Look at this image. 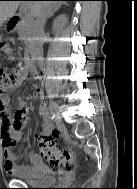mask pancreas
<instances>
[{
	"label": "pancreas",
	"instance_id": "pancreas-1",
	"mask_svg": "<svg viewBox=\"0 0 137 189\" xmlns=\"http://www.w3.org/2000/svg\"><path fill=\"white\" fill-rule=\"evenodd\" d=\"M19 33H21V30L19 31ZM20 39H21V40H24V39H25V37H24V36H22V35H20Z\"/></svg>",
	"mask_w": 137,
	"mask_h": 189
}]
</instances>
